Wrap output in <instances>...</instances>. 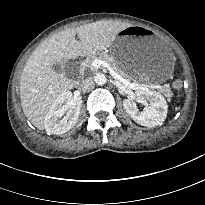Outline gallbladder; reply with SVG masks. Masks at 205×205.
I'll return each mask as SVG.
<instances>
[{
    "label": "gallbladder",
    "instance_id": "obj_1",
    "mask_svg": "<svg viewBox=\"0 0 205 205\" xmlns=\"http://www.w3.org/2000/svg\"><path fill=\"white\" fill-rule=\"evenodd\" d=\"M64 61H60L52 66L53 70L57 73H65L67 76L72 77L73 73L68 65L63 66Z\"/></svg>",
    "mask_w": 205,
    "mask_h": 205
}]
</instances>
